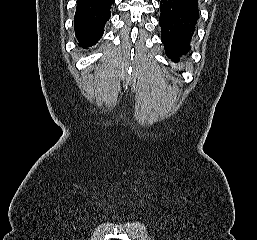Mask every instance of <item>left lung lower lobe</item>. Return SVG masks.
I'll use <instances>...</instances> for the list:
<instances>
[{
  "instance_id": "left-lung-lower-lobe-1",
  "label": "left lung lower lobe",
  "mask_w": 257,
  "mask_h": 240,
  "mask_svg": "<svg viewBox=\"0 0 257 240\" xmlns=\"http://www.w3.org/2000/svg\"><path fill=\"white\" fill-rule=\"evenodd\" d=\"M161 40L166 55L178 62L190 50V41L199 19L197 0L160 1Z\"/></svg>"
}]
</instances>
